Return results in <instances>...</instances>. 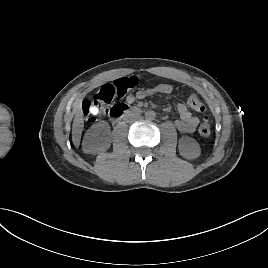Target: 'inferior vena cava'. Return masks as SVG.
<instances>
[{"label":"inferior vena cava","instance_id":"inferior-vena-cava-1","mask_svg":"<svg viewBox=\"0 0 268 268\" xmlns=\"http://www.w3.org/2000/svg\"><path fill=\"white\" fill-rule=\"evenodd\" d=\"M139 118V114L135 113V112H128L125 115V120L127 121H132V120H136Z\"/></svg>","mask_w":268,"mask_h":268}]
</instances>
